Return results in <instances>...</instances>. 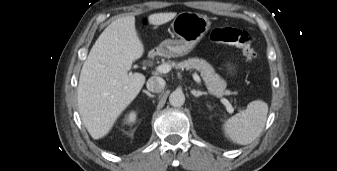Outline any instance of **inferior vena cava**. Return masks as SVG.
Listing matches in <instances>:
<instances>
[{"instance_id": "obj_1", "label": "inferior vena cava", "mask_w": 337, "mask_h": 171, "mask_svg": "<svg viewBox=\"0 0 337 171\" xmlns=\"http://www.w3.org/2000/svg\"><path fill=\"white\" fill-rule=\"evenodd\" d=\"M147 89L154 93H159L165 88V80L158 76L150 77L147 81Z\"/></svg>"}]
</instances>
